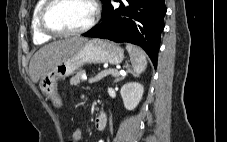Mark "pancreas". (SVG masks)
Returning a JSON list of instances; mask_svg holds the SVG:
<instances>
[{
	"mask_svg": "<svg viewBox=\"0 0 227 142\" xmlns=\"http://www.w3.org/2000/svg\"><path fill=\"white\" fill-rule=\"evenodd\" d=\"M85 71L84 70H79L75 76H73L70 79V84L71 85H79L80 82H82V76L84 75Z\"/></svg>",
	"mask_w": 227,
	"mask_h": 142,
	"instance_id": "1",
	"label": "pancreas"
}]
</instances>
